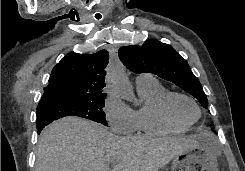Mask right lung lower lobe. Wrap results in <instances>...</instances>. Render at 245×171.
<instances>
[{
	"instance_id": "right-lung-lower-lobe-1",
	"label": "right lung lower lobe",
	"mask_w": 245,
	"mask_h": 171,
	"mask_svg": "<svg viewBox=\"0 0 245 171\" xmlns=\"http://www.w3.org/2000/svg\"><path fill=\"white\" fill-rule=\"evenodd\" d=\"M52 121H54V119H50L47 117H37V132L38 134L41 132V130L48 125L49 123H51Z\"/></svg>"
}]
</instances>
